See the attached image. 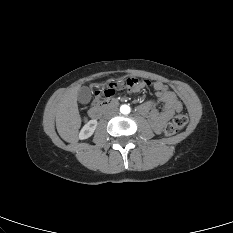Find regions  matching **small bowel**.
I'll return each mask as SVG.
<instances>
[{
	"instance_id": "obj_1",
	"label": "small bowel",
	"mask_w": 233,
	"mask_h": 233,
	"mask_svg": "<svg viewBox=\"0 0 233 233\" xmlns=\"http://www.w3.org/2000/svg\"><path fill=\"white\" fill-rule=\"evenodd\" d=\"M146 86L145 82H136L132 91L138 92ZM157 101H148L138 106L139 114L148 117L154 132L160 133L166 122L175 114L182 110V104L175 93L164 83L157 81L154 83ZM156 102L163 104L162 110L155 108Z\"/></svg>"
}]
</instances>
